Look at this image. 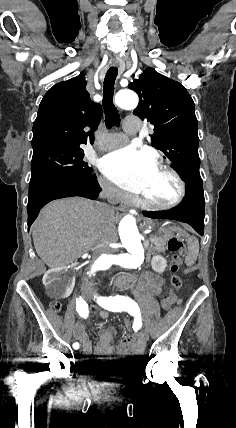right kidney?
I'll list each match as a JSON object with an SVG mask.
<instances>
[{"label":"right kidney","mask_w":236,"mask_h":428,"mask_svg":"<svg viewBox=\"0 0 236 428\" xmlns=\"http://www.w3.org/2000/svg\"><path fill=\"white\" fill-rule=\"evenodd\" d=\"M65 270L62 268L47 269L43 276V284L47 286L50 301H64L70 296L74 286L75 278L71 282H66Z\"/></svg>","instance_id":"obj_1"}]
</instances>
